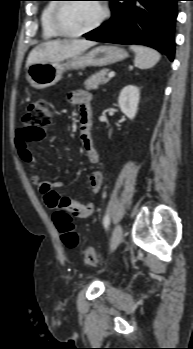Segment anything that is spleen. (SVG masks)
<instances>
[{
  "label": "spleen",
  "mask_w": 193,
  "mask_h": 349,
  "mask_svg": "<svg viewBox=\"0 0 193 349\" xmlns=\"http://www.w3.org/2000/svg\"><path fill=\"white\" fill-rule=\"evenodd\" d=\"M130 49L135 53L134 64L139 69H149L153 67L161 58L160 53L149 47L131 45Z\"/></svg>",
  "instance_id": "obj_1"
}]
</instances>
